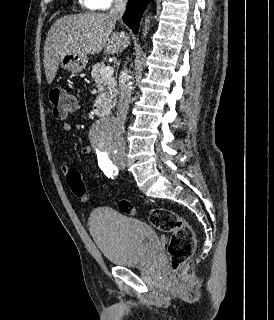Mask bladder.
Listing matches in <instances>:
<instances>
[{"instance_id": "obj_1", "label": "bladder", "mask_w": 274, "mask_h": 320, "mask_svg": "<svg viewBox=\"0 0 274 320\" xmlns=\"http://www.w3.org/2000/svg\"><path fill=\"white\" fill-rule=\"evenodd\" d=\"M88 229L102 256L117 266L142 265L159 247V237L150 225L113 208L95 209Z\"/></svg>"}]
</instances>
